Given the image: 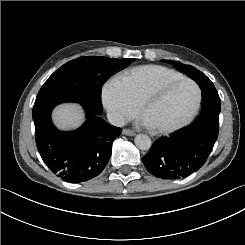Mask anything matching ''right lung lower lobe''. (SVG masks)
Listing matches in <instances>:
<instances>
[{
	"label": "right lung lower lobe",
	"mask_w": 245,
	"mask_h": 245,
	"mask_svg": "<svg viewBox=\"0 0 245 245\" xmlns=\"http://www.w3.org/2000/svg\"><path fill=\"white\" fill-rule=\"evenodd\" d=\"M49 100L33 107L35 140L38 151L49 169L69 183L90 180L102 172L112 153V142L121 128L106 123L85 105L87 120L74 132H61L51 121V110L62 102Z\"/></svg>",
	"instance_id": "obj_1"
}]
</instances>
